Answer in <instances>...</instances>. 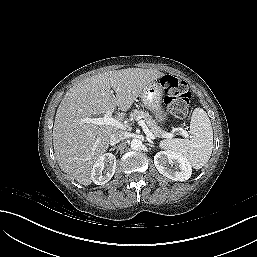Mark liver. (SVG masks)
Masks as SVG:
<instances>
[{"mask_svg":"<svg viewBox=\"0 0 257 257\" xmlns=\"http://www.w3.org/2000/svg\"><path fill=\"white\" fill-rule=\"evenodd\" d=\"M163 75L153 69L127 68L91 76L70 88L57 109L53 127L61 170L82 185L91 184L92 166L107 151L110 136L119 128L86 123L84 118L113 113L118 107L121 112L114 119L122 123L143 88Z\"/></svg>","mask_w":257,"mask_h":257,"instance_id":"1","label":"liver"}]
</instances>
